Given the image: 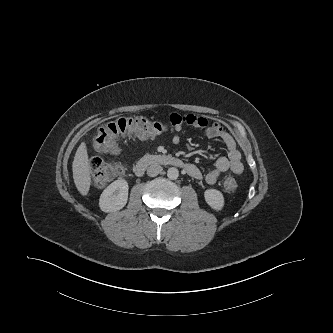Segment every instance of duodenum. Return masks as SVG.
Masks as SVG:
<instances>
[{
  "instance_id": "1",
  "label": "duodenum",
  "mask_w": 333,
  "mask_h": 333,
  "mask_svg": "<svg viewBox=\"0 0 333 333\" xmlns=\"http://www.w3.org/2000/svg\"><path fill=\"white\" fill-rule=\"evenodd\" d=\"M154 164L175 166L178 168H184L186 170L190 169V165L179 158L164 154H154L146 155L136 162L134 166L135 174L137 176L142 175L150 165Z\"/></svg>"
}]
</instances>
